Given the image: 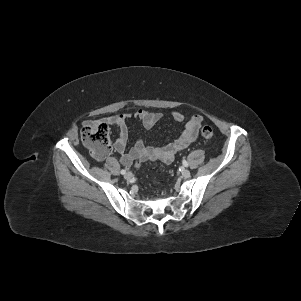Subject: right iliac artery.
I'll return each instance as SVG.
<instances>
[{"label": "right iliac artery", "mask_w": 301, "mask_h": 301, "mask_svg": "<svg viewBox=\"0 0 301 301\" xmlns=\"http://www.w3.org/2000/svg\"><path fill=\"white\" fill-rule=\"evenodd\" d=\"M120 173L124 175L126 173V170H121Z\"/></svg>", "instance_id": "1"}]
</instances>
